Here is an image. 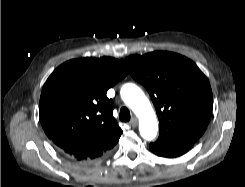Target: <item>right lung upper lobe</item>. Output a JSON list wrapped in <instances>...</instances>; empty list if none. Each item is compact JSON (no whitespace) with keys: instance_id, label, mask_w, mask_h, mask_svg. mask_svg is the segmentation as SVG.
<instances>
[{"instance_id":"obj_1","label":"right lung upper lobe","mask_w":245,"mask_h":187,"mask_svg":"<svg viewBox=\"0 0 245 187\" xmlns=\"http://www.w3.org/2000/svg\"><path fill=\"white\" fill-rule=\"evenodd\" d=\"M127 74L115 58H80L65 62L47 79L40 97V121L67 158L97 162L111 153L122 130L106 93Z\"/></svg>"}]
</instances>
